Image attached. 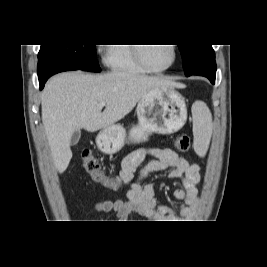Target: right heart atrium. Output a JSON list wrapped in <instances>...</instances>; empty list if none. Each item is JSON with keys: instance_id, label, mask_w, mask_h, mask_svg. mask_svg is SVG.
I'll return each mask as SVG.
<instances>
[{"instance_id": "1", "label": "right heart atrium", "mask_w": 267, "mask_h": 267, "mask_svg": "<svg viewBox=\"0 0 267 267\" xmlns=\"http://www.w3.org/2000/svg\"><path fill=\"white\" fill-rule=\"evenodd\" d=\"M99 53H100V55L104 56V55L107 54V51H106L105 49H103V48H100V49H99ZM107 60H108V57H107ZM107 60H106V61H107Z\"/></svg>"}]
</instances>
